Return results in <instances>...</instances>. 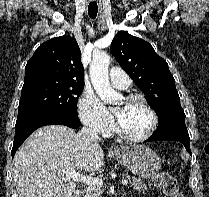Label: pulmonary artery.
<instances>
[{"instance_id":"e3ab8cb5","label":"pulmonary artery","mask_w":209,"mask_h":197,"mask_svg":"<svg viewBox=\"0 0 209 197\" xmlns=\"http://www.w3.org/2000/svg\"><path fill=\"white\" fill-rule=\"evenodd\" d=\"M109 75L113 87L125 90L130 86V78L121 68L112 67L110 69Z\"/></svg>"}]
</instances>
